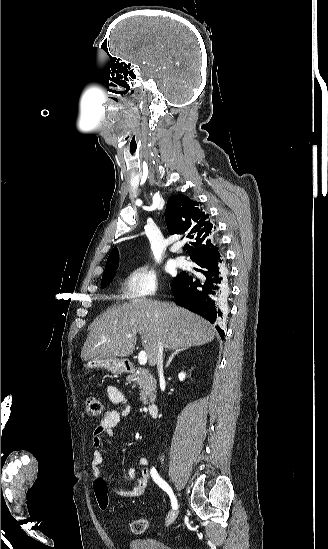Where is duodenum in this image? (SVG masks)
<instances>
[{
    "label": "duodenum",
    "instance_id": "duodenum-1",
    "mask_svg": "<svg viewBox=\"0 0 328 549\" xmlns=\"http://www.w3.org/2000/svg\"><path fill=\"white\" fill-rule=\"evenodd\" d=\"M148 413L150 414V416L156 417L158 414V405L156 403H150L148 405Z\"/></svg>",
    "mask_w": 328,
    "mask_h": 549
}]
</instances>
